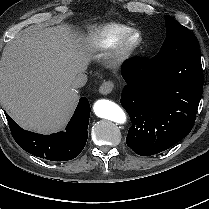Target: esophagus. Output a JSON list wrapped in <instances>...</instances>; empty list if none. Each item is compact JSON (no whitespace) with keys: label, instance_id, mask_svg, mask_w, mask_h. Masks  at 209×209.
Instances as JSON below:
<instances>
[{"label":"esophagus","instance_id":"1","mask_svg":"<svg viewBox=\"0 0 209 209\" xmlns=\"http://www.w3.org/2000/svg\"><path fill=\"white\" fill-rule=\"evenodd\" d=\"M114 86H115V83L112 80L104 81L99 88V92L102 95H108L112 92V90L114 89Z\"/></svg>","mask_w":209,"mask_h":209}]
</instances>
